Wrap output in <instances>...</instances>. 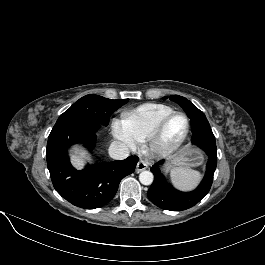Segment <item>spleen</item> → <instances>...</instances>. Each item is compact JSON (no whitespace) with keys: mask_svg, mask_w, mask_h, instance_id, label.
I'll return each mask as SVG.
<instances>
[{"mask_svg":"<svg viewBox=\"0 0 265 265\" xmlns=\"http://www.w3.org/2000/svg\"><path fill=\"white\" fill-rule=\"evenodd\" d=\"M170 177L175 186L181 189H189L194 187L201 179L200 172L186 168L174 167L170 171Z\"/></svg>","mask_w":265,"mask_h":265,"instance_id":"obj_1","label":"spleen"}]
</instances>
